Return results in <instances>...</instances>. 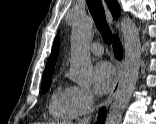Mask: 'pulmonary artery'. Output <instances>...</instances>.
I'll use <instances>...</instances> for the list:
<instances>
[{
  "label": "pulmonary artery",
  "mask_w": 156,
  "mask_h": 124,
  "mask_svg": "<svg viewBox=\"0 0 156 124\" xmlns=\"http://www.w3.org/2000/svg\"><path fill=\"white\" fill-rule=\"evenodd\" d=\"M89 50L95 56H101L103 54V46L99 42L92 43Z\"/></svg>",
  "instance_id": "pulmonary-artery-1"
}]
</instances>
